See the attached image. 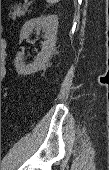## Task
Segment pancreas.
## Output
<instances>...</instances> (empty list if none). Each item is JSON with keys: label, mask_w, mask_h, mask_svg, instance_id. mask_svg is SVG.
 Returning a JSON list of instances; mask_svg holds the SVG:
<instances>
[{"label": "pancreas", "mask_w": 109, "mask_h": 170, "mask_svg": "<svg viewBox=\"0 0 109 170\" xmlns=\"http://www.w3.org/2000/svg\"><path fill=\"white\" fill-rule=\"evenodd\" d=\"M26 11H28V7L27 6H23V7H16L10 14V18L12 19H16V17H21L23 15H25Z\"/></svg>", "instance_id": "obj_1"}]
</instances>
